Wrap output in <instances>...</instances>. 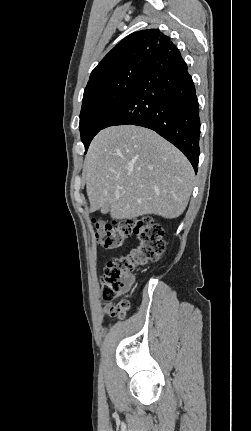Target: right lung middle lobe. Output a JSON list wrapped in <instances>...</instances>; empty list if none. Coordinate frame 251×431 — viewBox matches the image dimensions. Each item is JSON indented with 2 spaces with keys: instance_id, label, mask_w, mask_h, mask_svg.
Instances as JSON below:
<instances>
[{
  "instance_id": "right-lung-middle-lobe-1",
  "label": "right lung middle lobe",
  "mask_w": 251,
  "mask_h": 431,
  "mask_svg": "<svg viewBox=\"0 0 251 431\" xmlns=\"http://www.w3.org/2000/svg\"><path fill=\"white\" fill-rule=\"evenodd\" d=\"M147 64V61L132 62L86 86L79 123L85 152L109 116L137 85Z\"/></svg>"
}]
</instances>
